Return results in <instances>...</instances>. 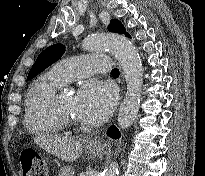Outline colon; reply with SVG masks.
Segmentation results:
<instances>
[{"label": "colon", "mask_w": 205, "mask_h": 176, "mask_svg": "<svg viewBox=\"0 0 205 176\" xmlns=\"http://www.w3.org/2000/svg\"><path fill=\"white\" fill-rule=\"evenodd\" d=\"M48 168L44 158L33 154L24 155L21 161L22 176H47Z\"/></svg>", "instance_id": "1"}]
</instances>
